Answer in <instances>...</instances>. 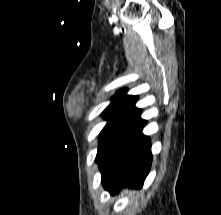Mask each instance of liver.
Returning <instances> with one entry per match:
<instances>
[{"label": "liver", "instance_id": "obj_1", "mask_svg": "<svg viewBox=\"0 0 221 215\" xmlns=\"http://www.w3.org/2000/svg\"><path fill=\"white\" fill-rule=\"evenodd\" d=\"M123 193H126V191H124ZM134 193V191L131 192V194Z\"/></svg>", "mask_w": 221, "mask_h": 215}]
</instances>
